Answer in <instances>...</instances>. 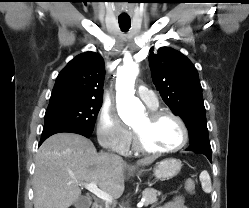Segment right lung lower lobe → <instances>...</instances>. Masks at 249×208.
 Wrapping results in <instances>:
<instances>
[{
	"label": "right lung lower lobe",
	"instance_id": "right-lung-lower-lobe-1",
	"mask_svg": "<svg viewBox=\"0 0 249 208\" xmlns=\"http://www.w3.org/2000/svg\"><path fill=\"white\" fill-rule=\"evenodd\" d=\"M60 132H70V133H77V134H81L87 138L90 137L91 134L86 133L82 130H78V129H74V128H70V127H64V126H59V125H47L43 127V132H42V136H41V140L39 143V146L51 135L56 134V133H60Z\"/></svg>",
	"mask_w": 249,
	"mask_h": 208
}]
</instances>
